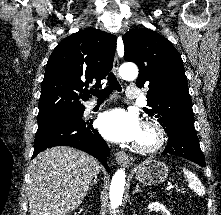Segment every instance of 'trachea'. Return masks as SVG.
<instances>
[{
	"label": "trachea",
	"instance_id": "obj_1",
	"mask_svg": "<svg viewBox=\"0 0 221 215\" xmlns=\"http://www.w3.org/2000/svg\"><path fill=\"white\" fill-rule=\"evenodd\" d=\"M107 79L109 85L106 88L102 90H94L91 92L94 96L98 98V100H105L113 92V90H117L119 92L122 91L121 85L117 81L114 73H110Z\"/></svg>",
	"mask_w": 221,
	"mask_h": 215
}]
</instances>
